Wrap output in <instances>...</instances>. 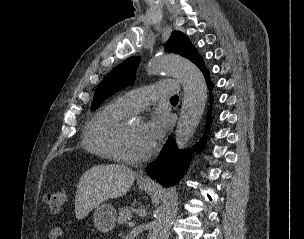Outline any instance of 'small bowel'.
<instances>
[{"label":"small bowel","instance_id":"obj_1","mask_svg":"<svg viewBox=\"0 0 304 239\" xmlns=\"http://www.w3.org/2000/svg\"><path fill=\"white\" fill-rule=\"evenodd\" d=\"M64 235L60 227H53L49 232V239H61Z\"/></svg>","mask_w":304,"mask_h":239}]
</instances>
